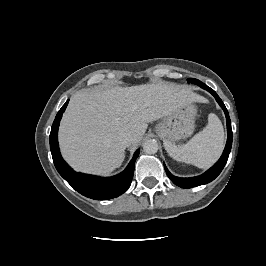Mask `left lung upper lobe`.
<instances>
[{"mask_svg":"<svg viewBox=\"0 0 266 266\" xmlns=\"http://www.w3.org/2000/svg\"><path fill=\"white\" fill-rule=\"evenodd\" d=\"M196 79H189V82L194 83Z\"/></svg>","mask_w":266,"mask_h":266,"instance_id":"left-lung-upper-lobe-1","label":"left lung upper lobe"}]
</instances>
